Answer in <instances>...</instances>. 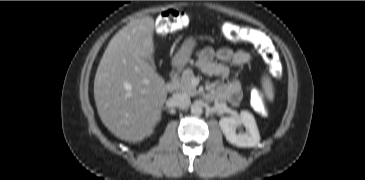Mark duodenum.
Segmentation results:
<instances>
[{"label":"duodenum","instance_id":"1","mask_svg":"<svg viewBox=\"0 0 365 180\" xmlns=\"http://www.w3.org/2000/svg\"><path fill=\"white\" fill-rule=\"evenodd\" d=\"M180 72L179 69H175L172 74L170 75V79L167 82L165 88L167 91L172 92L175 91L178 86V73Z\"/></svg>","mask_w":365,"mask_h":180}]
</instances>
